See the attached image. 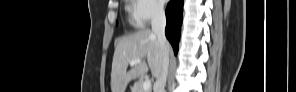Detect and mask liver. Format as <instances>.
Wrapping results in <instances>:
<instances>
[{
    "instance_id": "liver-1",
    "label": "liver",
    "mask_w": 296,
    "mask_h": 92,
    "mask_svg": "<svg viewBox=\"0 0 296 92\" xmlns=\"http://www.w3.org/2000/svg\"><path fill=\"white\" fill-rule=\"evenodd\" d=\"M145 58H147V63ZM134 59L142 61L127 71L130 61ZM149 68L155 78L162 71V52L157 36L150 29H142L122 37L113 55L111 92H125L128 83L146 75Z\"/></svg>"
}]
</instances>
